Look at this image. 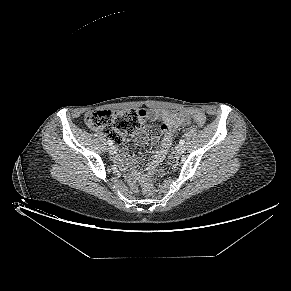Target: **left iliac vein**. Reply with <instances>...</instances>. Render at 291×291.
<instances>
[{
    "mask_svg": "<svg viewBox=\"0 0 291 291\" xmlns=\"http://www.w3.org/2000/svg\"><path fill=\"white\" fill-rule=\"evenodd\" d=\"M176 151H177L178 154H182V153H184L186 151V148H185L184 145L179 144L177 146V148H176Z\"/></svg>",
    "mask_w": 291,
    "mask_h": 291,
    "instance_id": "obj_1",
    "label": "left iliac vein"
}]
</instances>
